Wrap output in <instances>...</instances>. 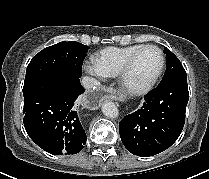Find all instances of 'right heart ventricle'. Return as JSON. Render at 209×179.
I'll return each instance as SVG.
<instances>
[{"mask_svg":"<svg viewBox=\"0 0 209 179\" xmlns=\"http://www.w3.org/2000/svg\"><path fill=\"white\" fill-rule=\"evenodd\" d=\"M143 46L145 45L135 44L104 48L93 56V65L102 76L116 77L126 61Z\"/></svg>","mask_w":209,"mask_h":179,"instance_id":"1","label":"right heart ventricle"}]
</instances>
